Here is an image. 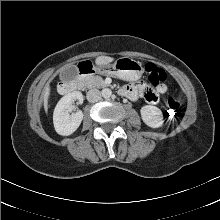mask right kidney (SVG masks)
Wrapping results in <instances>:
<instances>
[{
  "instance_id": "right-kidney-1",
  "label": "right kidney",
  "mask_w": 220,
  "mask_h": 220,
  "mask_svg": "<svg viewBox=\"0 0 220 220\" xmlns=\"http://www.w3.org/2000/svg\"><path fill=\"white\" fill-rule=\"evenodd\" d=\"M75 100L83 103V95L79 91H74L62 97L57 103L53 113V123L56 132L62 136L74 133L83 120L82 111L70 114L72 104Z\"/></svg>"
}]
</instances>
